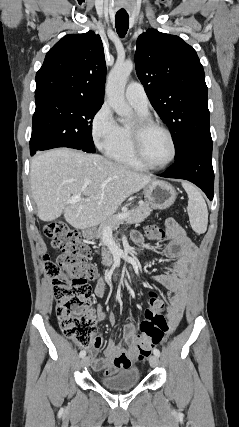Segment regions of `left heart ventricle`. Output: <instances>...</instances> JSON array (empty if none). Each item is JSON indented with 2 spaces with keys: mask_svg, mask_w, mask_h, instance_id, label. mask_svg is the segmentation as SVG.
Returning a JSON list of instances; mask_svg holds the SVG:
<instances>
[{
  "mask_svg": "<svg viewBox=\"0 0 239 427\" xmlns=\"http://www.w3.org/2000/svg\"><path fill=\"white\" fill-rule=\"evenodd\" d=\"M143 151L150 163L160 165L170 159L172 145L168 136L163 131L151 129L145 134Z\"/></svg>",
  "mask_w": 239,
  "mask_h": 427,
  "instance_id": "1",
  "label": "left heart ventricle"
}]
</instances>
